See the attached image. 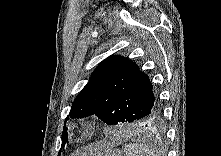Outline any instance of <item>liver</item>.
I'll return each instance as SVG.
<instances>
[{
	"mask_svg": "<svg viewBox=\"0 0 221 156\" xmlns=\"http://www.w3.org/2000/svg\"><path fill=\"white\" fill-rule=\"evenodd\" d=\"M105 148V145H96V146H92L90 148L87 149L85 154L88 155H94L97 151L102 150Z\"/></svg>",
	"mask_w": 221,
	"mask_h": 156,
	"instance_id": "obj_1",
	"label": "liver"
}]
</instances>
